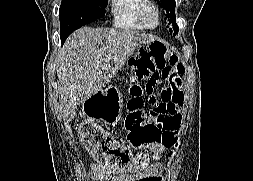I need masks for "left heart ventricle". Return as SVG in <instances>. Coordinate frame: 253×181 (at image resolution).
Instances as JSON below:
<instances>
[{
    "label": "left heart ventricle",
    "instance_id": "b2bd125f",
    "mask_svg": "<svg viewBox=\"0 0 253 181\" xmlns=\"http://www.w3.org/2000/svg\"><path fill=\"white\" fill-rule=\"evenodd\" d=\"M146 18L150 25H154L156 23V16L153 10L149 9L147 11Z\"/></svg>",
    "mask_w": 253,
    "mask_h": 181
}]
</instances>
